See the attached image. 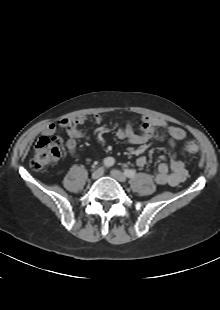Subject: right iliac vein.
I'll use <instances>...</instances> for the list:
<instances>
[{"label": "right iliac vein", "mask_w": 220, "mask_h": 310, "mask_svg": "<svg viewBox=\"0 0 220 310\" xmlns=\"http://www.w3.org/2000/svg\"><path fill=\"white\" fill-rule=\"evenodd\" d=\"M104 173V169L103 168H98L97 170H95L92 173V178L93 179H98L99 177H101Z\"/></svg>", "instance_id": "63e3f726"}]
</instances>
